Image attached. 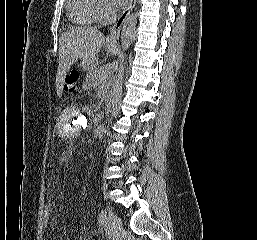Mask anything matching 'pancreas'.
Masks as SVG:
<instances>
[{
	"mask_svg": "<svg viewBox=\"0 0 257 240\" xmlns=\"http://www.w3.org/2000/svg\"><path fill=\"white\" fill-rule=\"evenodd\" d=\"M109 73L107 72L106 67L101 66L99 68H92L88 71L86 76L84 87H97L100 86L101 79H107Z\"/></svg>",
	"mask_w": 257,
	"mask_h": 240,
	"instance_id": "obj_1",
	"label": "pancreas"
}]
</instances>
